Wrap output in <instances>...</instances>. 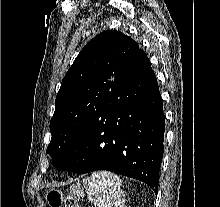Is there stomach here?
Listing matches in <instances>:
<instances>
[{"mask_svg":"<svg viewBox=\"0 0 220 207\" xmlns=\"http://www.w3.org/2000/svg\"><path fill=\"white\" fill-rule=\"evenodd\" d=\"M83 190L80 185H74L70 188V195L65 197L63 192L59 189L51 188L45 193V200L50 207H62L61 205L66 202V199L80 200L83 198Z\"/></svg>","mask_w":220,"mask_h":207,"instance_id":"1","label":"stomach"}]
</instances>
